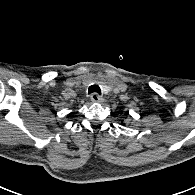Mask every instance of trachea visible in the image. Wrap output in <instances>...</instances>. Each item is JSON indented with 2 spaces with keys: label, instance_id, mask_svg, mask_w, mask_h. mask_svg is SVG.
I'll return each mask as SVG.
<instances>
[{
  "label": "trachea",
  "instance_id": "1",
  "mask_svg": "<svg viewBox=\"0 0 195 195\" xmlns=\"http://www.w3.org/2000/svg\"><path fill=\"white\" fill-rule=\"evenodd\" d=\"M88 93L91 94V93H98V94H101V89L98 85H91L89 88H88Z\"/></svg>",
  "mask_w": 195,
  "mask_h": 195
}]
</instances>
